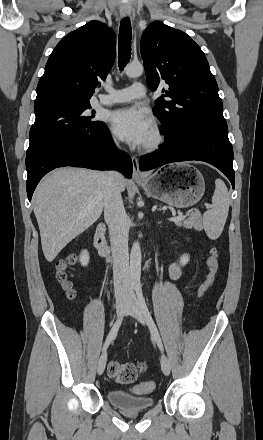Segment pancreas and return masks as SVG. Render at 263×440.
I'll use <instances>...</instances> for the list:
<instances>
[{"label":"pancreas","mask_w":263,"mask_h":440,"mask_svg":"<svg viewBox=\"0 0 263 440\" xmlns=\"http://www.w3.org/2000/svg\"><path fill=\"white\" fill-rule=\"evenodd\" d=\"M188 218L185 219L184 221H180L178 222V226H183L187 229H191L194 228L195 230H202L203 229V225H202V216L200 211L195 210L193 212H191L190 214L187 215Z\"/></svg>","instance_id":"cf45deb5"}]
</instances>
